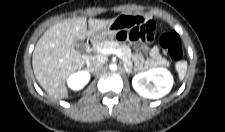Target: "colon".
Returning <instances> with one entry per match:
<instances>
[{"label": "colon", "mask_w": 225, "mask_h": 132, "mask_svg": "<svg viewBox=\"0 0 225 132\" xmlns=\"http://www.w3.org/2000/svg\"><path fill=\"white\" fill-rule=\"evenodd\" d=\"M154 30L155 23L146 21L139 25L122 29L118 33V38L129 41L151 40L154 38ZM160 44L173 60H179L182 57L181 41L178 34L174 31L163 34L160 37Z\"/></svg>", "instance_id": "colon-1"}]
</instances>
